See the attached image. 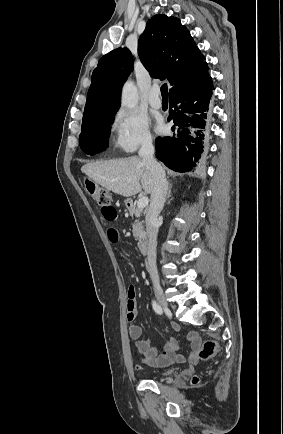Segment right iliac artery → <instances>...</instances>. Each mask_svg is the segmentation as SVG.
I'll return each instance as SVG.
<instances>
[{"instance_id":"1","label":"right iliac artery","mask_w":283,"mask_h":434,"mask_svg":"<svg viewBox=\"0 0 283 434\" xmlns=\"http://www.w3.org/2000/svg\"><path fill=\"white\" fill-rule=\"evenodd\" d=\"M152 307L157 314H162V307L156 301H152Z\"/></svg>"}]
</instances>
